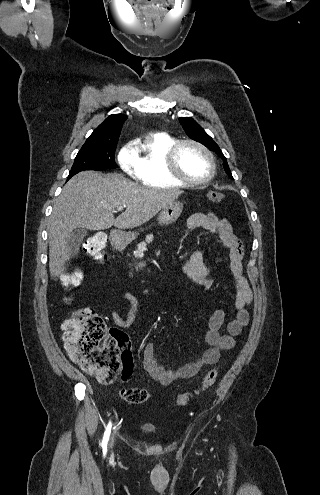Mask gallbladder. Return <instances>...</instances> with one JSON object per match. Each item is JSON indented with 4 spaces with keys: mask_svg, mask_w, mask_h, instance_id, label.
Returning a JSON list of instances; mask_svg holds the SVG:
<instances>
[{
    "mask_svg": "<svg viewBox=\"0 0 320 495\" xmlns=\"http://www.w3.org/2000/svg\"><path fill=\"white\" fill-rule=\"evenodd\" d=\"M87 235V230L84 228L74 229L68 239V247L70 249L71 256L78 253L79 246Z\"/></svg>",
    "mask_w": 320,
    "mask_h": 495,
    "instance_id": "obj_1",
    "label": "gallbladder"
}]
</instances>
